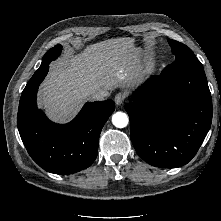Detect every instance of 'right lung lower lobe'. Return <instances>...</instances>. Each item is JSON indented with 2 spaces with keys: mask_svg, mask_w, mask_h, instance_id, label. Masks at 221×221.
Listing matches in <instances>:
<instances>
[{
  "mask_svg": "<svg viewBox=\"0 0 221 221\" xmlns=\"http://www.w3.org/2000/svg\"><path fill=\"white\" fill-rule=\"evenodd\" d=\"M49 66L39 68L27 83L19 103L17 125L32 159L54 174H71L88 168L98 152L101 130L114 111V102L86 103L68 124L49 121L37 109L36 95Z\"/></svg>",
  "mask_w": 221,
  "mask_h": 221,
  "instance_id": "right-lung-lower-lobe-1",
  "label": "right lung lower lobe"
}]
</instances>
